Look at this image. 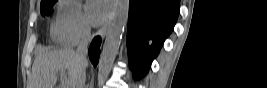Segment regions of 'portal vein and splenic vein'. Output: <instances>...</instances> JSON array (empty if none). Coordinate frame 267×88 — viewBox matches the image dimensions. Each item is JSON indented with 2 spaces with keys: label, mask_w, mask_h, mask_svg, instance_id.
Masks as SVG:
<instances>
[{
  "label": "portal vein and splenic vein",
  "mask_w": 267,
  "mask_h": 88,
  "mask_svg": "<svg viewBox=\"0 0 267 88\" xmlns=\"http://www.w3.org/2000/svg\"><path fill=\"white\" fill-rule=\"evenodd\" d=\"M60 75H61V78L63 79V88H69V85L65 79L66 78L65 70H61Z\"/></svg>",
  "instance_id": "portal-vein-and-splenic-vein-1"
}]
</instances>
